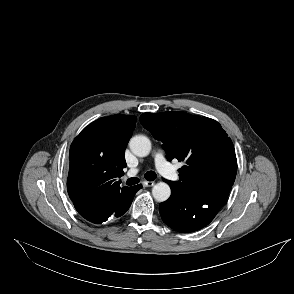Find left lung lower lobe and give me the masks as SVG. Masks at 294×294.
Segmentation results:
<instances>
[{"label": "left lung lower lobe", "mask_w": 294, "mask_h": 294, "mask_svg": "<svg viewBox=\"0 0 294 294\" xmlns=\"http://www.w3.org/2000/svg\"><path fill=\"white\" fill-rule=\"evenodd\" d=\"M172 195L159 205L162 220L179 232H193L205 227L224 204L228 191L218 188L211 191H184L167 181Z\"/></svg>", "instance_id": "obj_1"}]
</instances>
